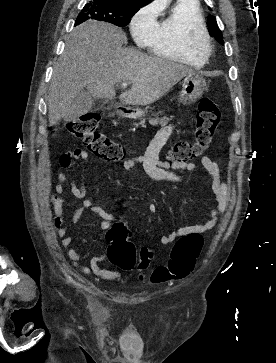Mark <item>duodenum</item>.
Instances as JSON below:
<instances>
[{"label":"duodenum","mask_w":276,"mask_h":363,"mask_svg":"<svg viewBox=\"0 0 276 363\" xmlns=\"http://www.w3.org/2000/svg\"><path fill=\"white\" fill-rule=\"evenodd\" d=\"M115 111L117 112H121V109L117 108V109H114Z\"/></svg>","instance_id":"1"}]
</instances>
